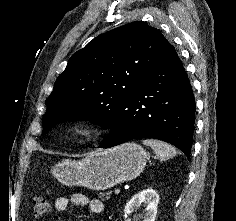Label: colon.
I'll return each mask as SVG.
<instances>
[{"label": "colon", "mask_w": 236, "mask_h": 221, "mask_svg": "<svg viewBox=\"0 0 236 221\" xmlns=\"http://www.w3.org/2000/svg\"><path fill=\"white\" fill-rule=\"evenodd\" d=\"M32 212L35 218L43 217L48 209V203L45 197L35 195L31 200Z\"/></svg>", "instance_id": "colon-1"}]
</instances>
